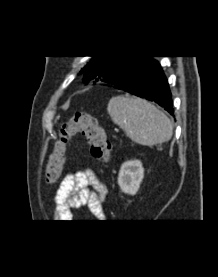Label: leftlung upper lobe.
<instances>
[{
  "mask_svg": "<svg viewBox=\"0 0 218 277\" xmlns=\"http://www.w3.org/2000/svg\"><path fill=\"white\" fill-rule=\"evenodd\" d=\"M136 56H96L81 72H84L85 83L94 79L96 81L106 80L111 74L122 69Z\"/></svg>",
  "mask_w": 218,
  "mask_h": 277,
  "instance_id": "1",
  "label": "left lung upper lobe"
}]
</instances>
